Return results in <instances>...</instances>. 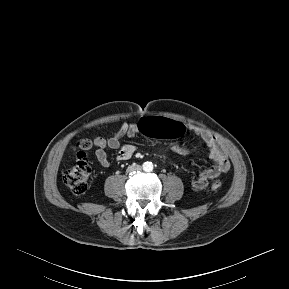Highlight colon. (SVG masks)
Here are the masks:
<instances>
[{
  "label": "colon",
  "mask_w": 289,
  "mask_h": 289,
  "mask_svg": "<svg viewBox=\"0 0 289 289\" xmlns=\"http://www.w3.org/2000/svg\"><path fill=\"white\" fill-rule=\"evenodd\" d=\"M136 129L141 136L150 135L157 138H179L186 132L185 127L178 120L162 116L145 117L139 121ZM90 147L91 143L88 140L79 142L76 163L65 172L63 177L65 184L75 194H83L88 188L91 168L87 160L86 151ZM221 186V181H215L211 184V189L218 190Z\"/></svg>",
  "instance_id": "obj_1"
}]
</instances>
